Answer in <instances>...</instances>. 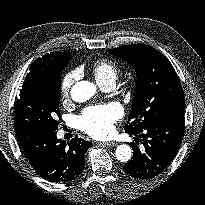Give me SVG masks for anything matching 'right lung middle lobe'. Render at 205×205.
<instances>
[{"mask_svg":"<svg viewBox=\"0 0 205 205\" xmlns=\"http://www.w3.org/2000/svg\"><path fill=\"white\" fill-rule=\"evenodd\" d=\"M63 65L49 73L26 77L16 102V133L28 130L56 132L61 119L59 101Z\"/></svg>","mask_w":205,"mask_h":205,"instance_id":"1","label":"right lung middle lobe"}]
</instances>
